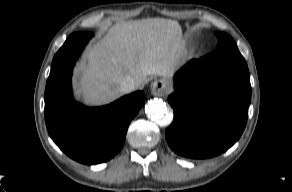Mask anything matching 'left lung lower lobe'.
<instances>
[{
	"mask_svg": "<svg viewBox=\"0 0 292 192\" xmlns=\"http://www.w3.org/2000/svg\"><path fill=\"white\" fill-rule=\"evenodd\" d=\"M168 101L173 123L165 137L177 154L217 156L241 136L251 101L249 71L239 51L218 50L192 59L175 75Z\"/></svg>",
	"mask_w": 292,
	"mask_h": 192,
	"instance_id": "0a47b994",
	"label": "left lung lower lobe"
}]
</instances>
